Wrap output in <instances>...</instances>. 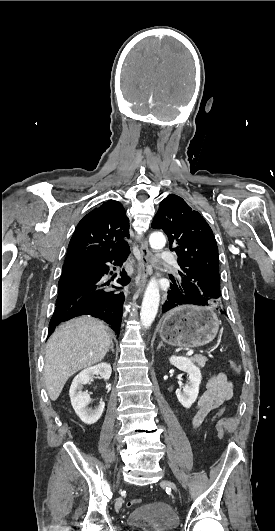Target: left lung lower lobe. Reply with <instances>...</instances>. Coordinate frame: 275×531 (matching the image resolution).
Segmentation results:
<instances>
[{
	"label": "left lung lower lobe",
	"mask_w": 275,
	"mask_h": 531,
	"mask_svg": "<svg viewBox=\"0 0 275 531\" xmlns=\"http://www.w3.org/2000/svg\"><path fill=\"white\" fill-rule=\"evenodd\" d=\"M182 304H188V303H183V302H181V301L175 299V298L171 295V293L168 291V297H167L166 302H165V303L163 304V306H162V312H167V311H169L170 309H172V308H174V307H176V306H178V305H182ZM221 312L225 314V312H224L223 310H222Z\"/></svg>",
	"instance_id": "obj_1"
}]
</instances>
